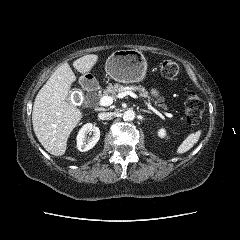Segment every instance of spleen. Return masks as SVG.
<instances>
[{
	"mask_svg": "<svg viewBox=\"0 0 240 240\" xmlns=\"http://www.w3.org/2000/svg\"><path fill=\"white\" fill-rule=\"evenodd\" d=\"M202 131L198 130L189 134L176 150L177 154H183L189 151L199 140Z\"/></svg>",
	"mask_w": 240,
	"mask_h": 240,
	"instance_id": "1",
	"label": "spleen"
}]
</instances>
